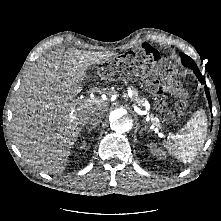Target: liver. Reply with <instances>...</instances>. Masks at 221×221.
I'll list each match as a JSON object with an SVG mask.
<instances>
[{
    "mask_svg": "<svg viewBox=\"0 0 221 221\" xmlns=\"http://www.w3.org/2000/svg\"><path fill=\"white\" fill-rule=\"evenodd\" d=\"M115 52L69 49L37 60L22 80L13 103V140L25 161L45 173H60L89 119L105 116L100 98L77 99L87 69Z\"/></svg>",
    "mask_w": 221,
    "mask_h": 221,
    "instance_id": "obj_1",
    "label": "liver"
}]
</instances>
